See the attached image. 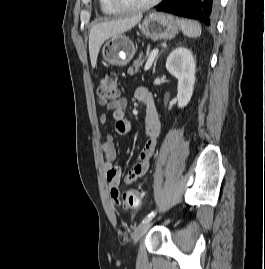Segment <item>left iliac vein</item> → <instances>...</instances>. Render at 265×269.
Returning <instances> with one entry per match:
<instances>
[{"mask_svg":"<svg viewBox=\"0 0 265 269\" xmlns=\"http://www.w3.org/2000/svg\"><path fill=\"white\" fill-rule=\"evenodd\" d=\"M152 223L151 222H146L140 224L136 230L134 231L133 234V243L136 244L142 236L148 231V229L151 227Z\"/></svg>","mask_w":265,"mask_h":269,"instance_id":"obj_1","label":"left iliac vein"}]
</instances>
